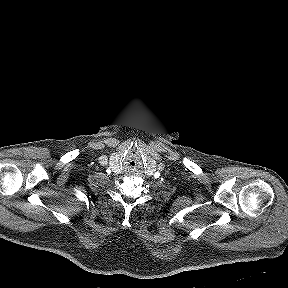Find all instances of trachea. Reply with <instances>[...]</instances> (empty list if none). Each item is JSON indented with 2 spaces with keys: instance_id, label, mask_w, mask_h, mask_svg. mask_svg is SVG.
Returning a JSON list of instances; mask_svg holds the SVG:
<instances>
[{
  "instance_id": "3493384b",
  "label": "trachea",
  "mask_w": 288,
  "mask_h": 288,
  "mask_svg": "<svg viewBox=\"0 0 288 288\" xmlns=\"http://www.w3.org/2000/svg\"><path fill=\"white\" fill-rule=\"evenodd\" d=\"M140 163V157L137 153L130 151L127 155L125 165H127L130 168H135Z\"/></svg>"
}]
</instances>
